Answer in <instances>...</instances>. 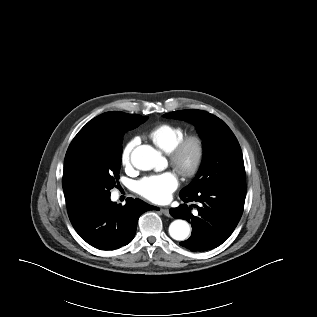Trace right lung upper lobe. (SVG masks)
<instances>
[{"mask_svg": "<svg viewBox=\"0 0 317 317\" xmlns=\"http://www.w3.org/2000/svg\"><path fill=\"white\" fill-rule=\"evenodd\" d=\"M108 116V113H104L102 115H99L98 117L92 119L89 121L83 129L88 128H103L106 123V117Z\"/></svg>", "mask_w": 317, "mask_h": 317, "instance_id": "1", "label": "right lung upper lobe"}]
</instances>
